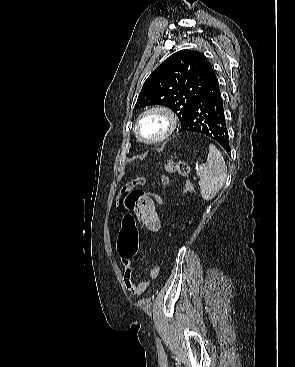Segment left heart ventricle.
I'll use <instances>...</instances> for the list:
<instances>
[{"instance_id":"b2bd125f","label":"left heart ventricle","mask_w":295,"mask_h":367,"mask_svg":"<svg viewBox=\"0 0 295 367\" xmlns=\"http://www.w3.org/2000/svg\"><path fill=\"white\" fill-rule=\"evenodd\" d=\"M166 129V121L160 115H151L140 124V133L146 139H154Z\"/></svg>"}]
</instances>
